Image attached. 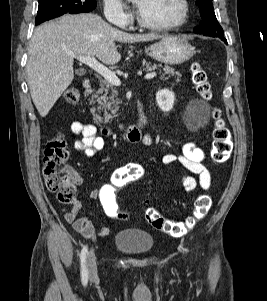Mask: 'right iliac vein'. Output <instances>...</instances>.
<instances>
[{
	"label": "right iliac vein",
	"mask_w": 267,
	"mask_h": 301,
	"mask_svg": "<svg viewBox=\"0 0 267 301\" xmlns=\"http://www.w3.org/2000/svg\"><path fill=\"white\" fill-rule=\"evenodd\" d=\"M86 261H87V269H88L89 277L93 279L97 276V263H96V257L93 249H91L88 252Z\"/></svg>",
	"instance_id": "1"
}]
</instances>
